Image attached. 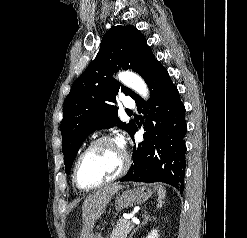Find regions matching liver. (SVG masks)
<instances>
[{
  "label": "liver",
  "mask_w": 247,
  "mask_h": 238,
  "mask_svg": "<svg viewBox=\"0 0 247 238\" xmlns=\"http://www.w3.org/2000/svg\"><path fill=\"white\" fill-rule=\"evenodd\" d=\"M122 185L111 184L89 195L82 205L83 229L80 238H92V230L95 221L103 214L106 205L111 197L119 190Z\"/></svg>",
  "instance_id": "1"
}]
</instances>
